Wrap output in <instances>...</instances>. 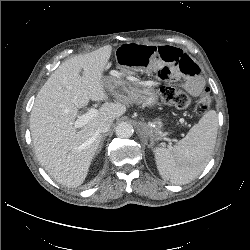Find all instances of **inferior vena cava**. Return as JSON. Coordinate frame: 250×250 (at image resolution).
<instances>
[{
	"label": "inferior vena cava",
	"instance_id": "602c4592",
	"mask_svg": "<svg viewBox=\"0 0 250 250\" xmlns=\"http://www.w3.org/2000/svg\"><path fill=\"white\" fill-rule=\"evenodd\" d=\"M111 124H112L111 120L101 122L99 127H98V131L100 133L108 132L110 130Z\"/></svg>",
	"mask_w": 250,
	"mask_h": 250
}]
</instances>
